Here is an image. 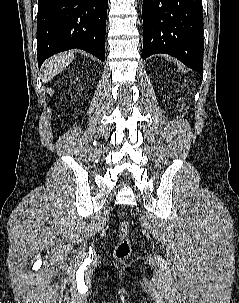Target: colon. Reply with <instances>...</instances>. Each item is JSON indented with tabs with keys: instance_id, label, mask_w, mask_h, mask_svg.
<instances>
[{
	"instance_id": "5ec220e1",
	"label": "colon",
	"mask_w": 239,
	"mask_h": 303,
	"mask_svg": "<svg viewBox=\"0 0 239 303\" xmlns=\"http://www.w3.org/2000/svg\"><path fill=\"white\" fill-rule=\"evenodd\" d=\"M129 231L130 223L127 220H123L119 226L118 245L115 250V256L119 260L126 259L130 254Z\"/></svg>"
}]
</instances>
